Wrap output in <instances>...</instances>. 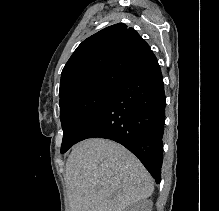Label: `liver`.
<instances>
[{"mask_svg": "<svg viewBox=\"0 0 219 211\" xmlns=\"http://www.w3.org/2000/svg\"><path fill=\"white\" fill-rule=\"evenodd\" d=\"M64 177L70 211H126L154 191L153 177L138 157L103 137L74 145Z\"/></svg>", "mask_w": 219, "mask_h": 211, "instance_id": "liver-1", "label": "liver"}]
</instances>
